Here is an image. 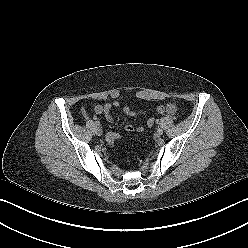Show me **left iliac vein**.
<instances>
[{
  "label": "left iliac vein",
  "mask_w": 248,
  "mask_h": 248,
  "mask_svg": "<svg viewBox=\"0 0 248 248\" xmlns=\"http://www.w3.org/2000/svg\"><path fill=\"white\" fill-rule=\"evenodd\" d=\"M163 134V130L161 128L157 129L156 135L160 137Z\"/></svg>",
  "instance_id": "1"
}]
</instances>
